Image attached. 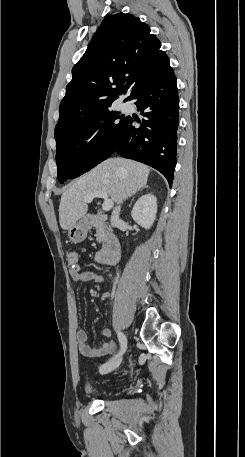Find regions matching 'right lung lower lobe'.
Wrapping results in <instances>:
<instances>
[{"instance_id":"right-lung-lower-lobe-1","label":"right lung lower lobe","mask_w":245,"mask_h":457,"mask_svg":"<svg viewBox=\"0 0 245 457\" xmlns=\"http://www.w3.org/2000/svg\"><path fill=\"white\" fill-rule=\"evenodd\" d=\"M129 100H136L134 103L145 118L124 117L114 152L154 167L171 186L179 124V97L173 69L141 84ZM135 122L140 124L139 128L134 127Z\"/></svg>"}]
</instances>
